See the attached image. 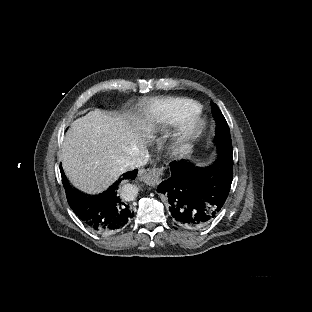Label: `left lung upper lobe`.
<instances>
[{"instance_id": "obj_1", "label": "left lung upper lobe", "mask_w": 312, "mask_h": 312, "mask_svg": "<svg viewBox=\"0 0 312 312\" xmlns=\"http://www.w3.org/2000/svg\"><path fill=\"white\" fill-rule=\"evenodd\" d=\"M211 105L213 107V115L216 122V136L214 137L216 150L232 151L230 130L226 119L215 103L211 102Z\"/></svg>"}]
</instances>
